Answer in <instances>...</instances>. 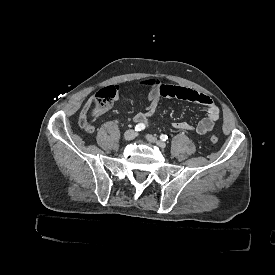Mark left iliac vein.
I'll return each instance as SVG.
<instances>
[{
    "instance_id": "obj_1",
    "label": "left iliac vein",
    "mask_w": 275,
    "mask_h": 275,
    "mask_svg": "<svg viewBox=\"0 0 275 275\" xmlns=\"http://www.w3.org/2000/svg\"><path fill=\"white\" fill-rule=\"evenodd\" d=\"M147 140L150 143L157 144L162 149H164L166 147V144L163 141L158 140L156 137H154L152 135H147Z\"/></svg>"
}]
</instances>
